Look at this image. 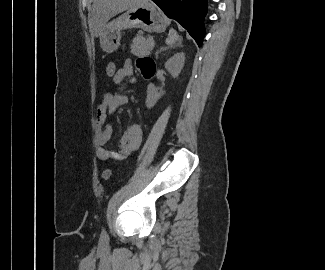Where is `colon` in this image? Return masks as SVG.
Returning a JSON list of instances; mask_svg holds the SVG:
<instances>
[{"label": "colon", "instance_id": "colon-1", "mask_svg": "<svg viewBox=\"0 0 325 270\" xmlns=\"http://www.w3.org/2000/svg\"><path fill=\"white\" fill-rule=\"evenodd\" d=\"M117 66L114 62H109L106 67H105V73H106V76L109 78V79H112L114 80L116 74H117ZM112 176V171L110 169H105L103 172H102V178L104 180H108L110 179V177Z\"/></svg>", "mask_w": 325, "mask_h": 270}]
</instances>
